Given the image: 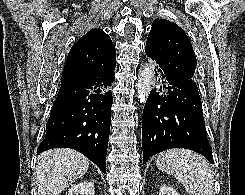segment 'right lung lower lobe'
I'll return each mask as SVG.
<instances>
[{"instance_id":"98d812e1","label":"right lung lower lobe","mask_w":245,"mask_h":195,"mask_svg":"<svg viewBox=\"0 0 245 195\" xmlns=\"http://www.w3.org/2000/svg\"><path fill=\"white\" fill-rule=\"evenodd\" d=\"M114 70L61 83L37 154L52 148H72L106 172V153L113 104Z\"/></svg>"}]
</instances>
